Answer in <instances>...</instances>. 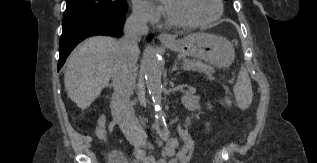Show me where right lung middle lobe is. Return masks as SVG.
Here are the masks:
<instances>
[{"label":"right lung middle lobe","mask_w":317,"mask_h":163,"mask_svg":"<svg viewBox=\"0 0 317 163\" xmlns=\"http://www.w3.org/2000/svg\"><path fill=\"white\" fill-rule=\"evenodd\" d=\"M63 28L103 14L125 15L126 0H66Z\"/></svg>","instance_id":"obj_1"}]
</instances>
